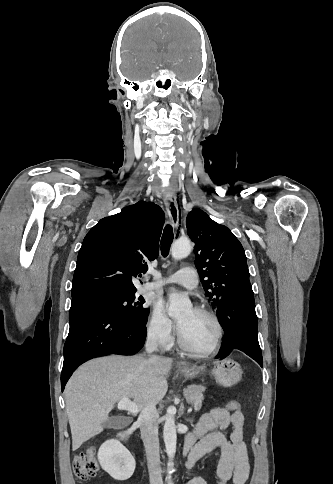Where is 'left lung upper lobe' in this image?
I'll use <instances>...</instances> for the list:
<instances>
[{"instance_id": "left-lung-upper-lobe-1", "label": "left lung upper lobe", "mask_w": 333, "mask_h": 484, "mask_svg": "<svg viewBox=\"0 0 333 484\" xmlns=\"http://www.w3.org/2000/svg\"><path fill=\"white\" fill-rule=\"evenodd\" d=\"M187 232L195 242L196 267L206 296L217 308L233 287L249 281L244 249L228 227L210 219L201 209L189 212ZM233 302L237 298L230 296Z\"/></svg>"}]
</instances>
